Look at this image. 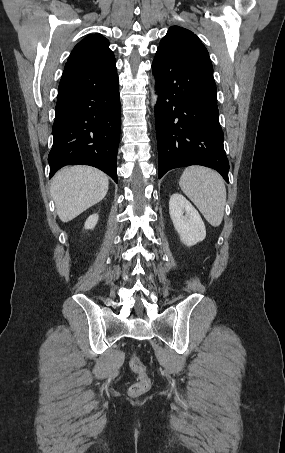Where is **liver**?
<instances>
[{
  "mask_svg": "<svg viewBox=\"0 0 285 453\" xmlns=\"http://www.w3.org/2000/svg\"><path fill=\"white\" fill-rule=\"evenodd\" d=\"M109 180L90 166H71L58 171L51 182V195L62 222H69L100 202L108 192Z\"/></svg>",
  "mask_w": 285,
  "mask_h": 453,
  "instance_id": "1",
  "label": "liver"
}]
</instances>
